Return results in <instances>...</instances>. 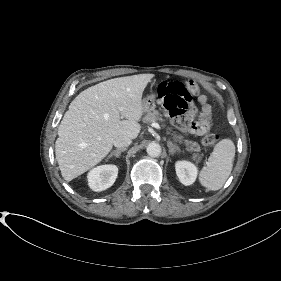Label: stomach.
I'll list each match as a JSON object with an SVG mask.
<instances>
[{"mask_svg":"<svg viewBox=\"0 0 281 281\" xmlns=\"http://www.w3.org/2000/svg\"><path fill=\"white\" fill-rule=\"evenodd\" d=\"M156 107L155 99L153 96H148L147 98H144L142 100V109L143 112L148 113L150 111H153Z\"/></svg>","mask_w":281,"mask_h":281,"instance_id":"obj_1","label":"stomach"}]
</instances>
